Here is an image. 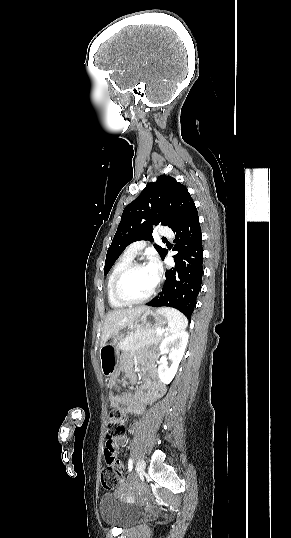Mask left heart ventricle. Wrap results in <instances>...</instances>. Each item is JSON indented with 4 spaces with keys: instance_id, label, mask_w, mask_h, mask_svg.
Returning a JSON list of instances; mask_svg holds the SVG:
<instances>
[{
    "instance_id": "b2bd125f",
    "label": "left heart ventricle",
    "mask_w": 291,
    "mask_h": 538,
    "mask_svg": "<svg viewBox=\"0 0 291 538\" xmlns=\"http://www.w3.org/2000/svg\"><path fill=\"white\" fill-rule=\"evenodd\" d=\"M156 279L147 267L139 268L131 272L122 282V293L131 299L146 296L153 288Z\"/></svg>"
}]
</instances>
